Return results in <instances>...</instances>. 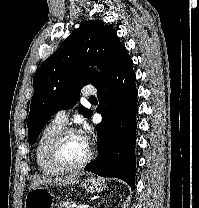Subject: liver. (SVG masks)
Here are the masks:
<instances>
[{
	"label": "liver",
	"instance_id": "liver-1",
	"mask_svg": "<svg viewBox=\"0 0 199 208\" xmlns=\"http://www.w3.org/2000/svg\"><path fill=\"white\" fill-rule=\"evenodd\" d=\"M80 176L77 174L66 175L61 177H40L34 179L29 187V191L39 186H68L78 183Z\"/></svg>",
	"mask_w": 199,
	"mask_h": 208
}]
</instances>
